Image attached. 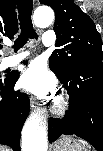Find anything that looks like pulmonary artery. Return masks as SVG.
I'll return each mask as SVG.
<instances>
[{
	"mask_svg": "<svg viewBox=\"0 0 103 151\" xmlns=\"http://www.w3.org/2000/svg\"><path fill=\"white\" fill-rule=\"evenodd\" d=\"M42 40L45 46L52 45L55 42L54 32L52 31L45 32ZM28 56H29V52H21L15 56H12L9 60V65L11 66L16 65L21 61H23L24 59H26Z\"/></svg>",
	"mask_w": 103,
	"mask_h": 151,
	"instance_id": "1",
	"label": "pulmonary artery"
}]
</instances>
